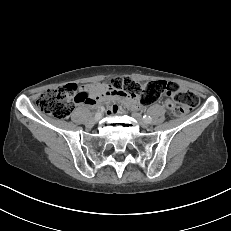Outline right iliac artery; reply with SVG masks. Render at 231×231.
I'll use <instances>...</instances> for the list:
<instances>
[{"label": "right iliac artery", "mask_w": 231, "mask_h": 231, "mask_svg": "<svg viewBox=\"0 0 231 231\" xmlns=\"http://www.w3.org/2000/svg\"><path fill=\"white\" fill-rule=\"evenodd\" d=\"M99 113H100V112L96 113V115H98ZM96 115H95V116H96Z\"/></svg>", "instance_id": "right-iliac-artery-1"}]
</instances>
